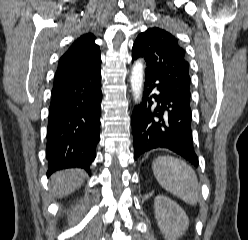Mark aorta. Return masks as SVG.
<instances>
[{"instance_id": "762f6f07", "label": "aorta", "mask_w": 248, "mask_h": 240, "mask_svg": "<svg viewBox=\"0 0 248 240\" xmlns=\"http://www.w3.org/2000/svg\"><path fill=\"white\" fill-rule=\"evenodd\" d=\"M143 74V63L138 60L134 63L130 76V85L135 103H140L142 99Z\"/></svg>"}]
</instances>
